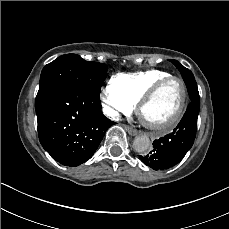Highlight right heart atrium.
I'll return each mask as SVG.
<instances>
[{
    "instance_id": "1",
    "label": "right heart atrium",
    "mask_w": 229,
    "mask_h": 229,
    "mask_svg": "<svg viewBox=\"0 0 229 229\" xmlns=\"http://www.w3.org/2000/svg\"><path fill=\"white\" fill-rule=\"evenodd\" d=\"M100 103L105 113L112 119L122 114H131L137 108V102L122 93L113 81L101 89Z\"/></svg>"
}]
</instances>
